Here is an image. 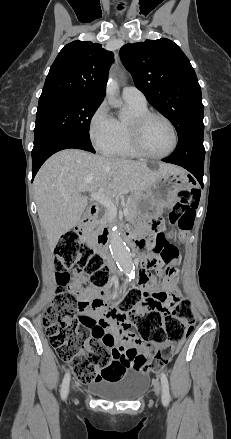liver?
<instances>
[{"mask_svg": "<svg viewBox=\"0 0 231 439\" xmlns=\"http://www.w3.org/2000/svg\"><path fill=\"white\" fill-rule=\"evenodd\" d=\"M182 171L161 162L158 169L151 170L145 162L107 158L78 149L54 154L34 180L38 216L50 249L80 220L87 205L81 193L103 188L106 196L114 198L122 192L146 191L162 176Z\"/></svg>", "mask_w": 231, "mask_h": 439, "instance_id": "obj_1", "label": "liver"}]
</instances>
